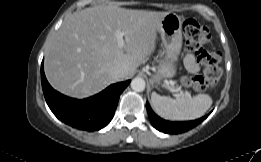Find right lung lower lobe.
<instances>
[{
  "mask_svg": "<svg viewBox=\"0 0 261 162\" xmlns=\"http://www.w3.org/2000/svg\"><path fill=\"white\" fill-rule=\"evenodd\" d=\"M41 83L46 102L54 115L74 128L100 130L111 121L120 94L130 80L110 85L99 94L83 100L69 98L54 90L48 83L41 65Z\"/></svg>",
  "mask_w": 261,
  "mask_h": 162,
  "instance_id": "right-lung-lower-lobe-1",
  "label": "right lung lower lobe"
}]
</instances>
